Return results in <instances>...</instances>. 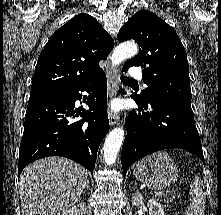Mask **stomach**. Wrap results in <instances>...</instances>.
I'll return each mask as SVG.
<instances>
[{
  "label": "stomach",
  "mask_w": 221,
  "mask_h": 215,
  "mask_svg": "<svg viewBox=\"0 0 221 215\" xmlns=\"http://www.w3.org/2000/svg\"><path fill=\"white\" fill-rule=\"evenodd\" d=\"M178 169L168 153L160 151L137 163L134 175L152 189H163L176 180Z\"/></svg>",
  "instance_id": "0dacf381"
}]
</instances>
